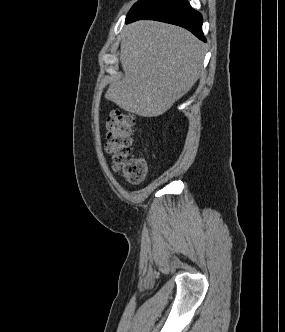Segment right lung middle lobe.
<instances>
[{
	"label": "right lung middle lobe",
	"mask_w": 285,
	"mask_h": 332,
	"mask_svg": "<svg viewBox=\"0 0 285 332\" xmlns=\"http://www.w3.org/2000/svg\"><path fill=\"white\" fill-rule=\"evenodd\" d=\"M149 0H139L134 6L131 8L130 12L128 13L127 17L137 11L139 8L144 6Z\"/></svg>",
	"instance_id": "obj_1"
}]
</instances>
